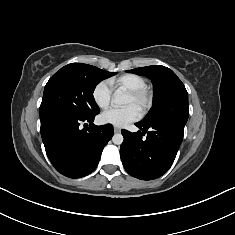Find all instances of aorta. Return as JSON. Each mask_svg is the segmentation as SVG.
Listing matches in <instances>:
<instances>
[{"label": "aorta", "mask_w": 235, "mask_h": 235, "mask_svg": "<svg viewBox=\"0 0 235 235\" xmlns=\"http://www.w3.org/2000/svg\"><path fill=\"white\" fill-rule=\"evenodd\" d=\"M112 103L115 106H122L127 103V96L121 90H116L112 97ZM123 140L124 138L120 133L114 134L112 137V141L116 145H121Z\"/></svg>", "instance_id": "aorta-1"}]
</instances>
